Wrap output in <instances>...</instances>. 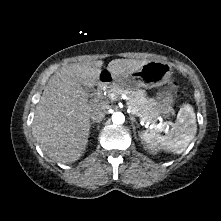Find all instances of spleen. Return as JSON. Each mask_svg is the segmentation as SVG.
I'll return each instance as SVG.
<instances>
[{
  "instance_id": "1",
  "label": "spleen",
  "mask_w": 221,
  "mask_h": 221,
  "mask_svg": "<svg viewBox=\"0 0 221 221\" xmlns=\"http://www.w3.org/2000/svg\"><path fill=\"white\" fill-rule=\"evenodd\" d=\"M177 125L166 135L157 130H146L141 138L150 148L163 149L177 154L186 150L197 132L196 116L189 104L182 107L177 115Z\"/></svg>"
}]
</instances>
